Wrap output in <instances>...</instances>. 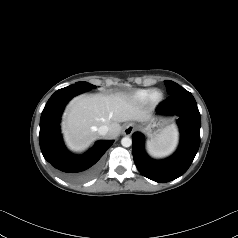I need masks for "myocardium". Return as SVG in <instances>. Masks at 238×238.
I'll list each match as a JSON object with an SVG mask.
<instances>
[{
	"label": "myocardium",
	"instance_id": "obj_1",
	"mask_svg": "<svg viewBox=\"0 0 238 238\" xmlns=\"http://www.w3.org/2000/svg\"><path fill=\"white\" fill-rule=\"evenodd\" d=\"M164 94L161 90L155 89L152 90L149 97H148V102L151 105H158L163 101Z\"/></svg>",
	"mask_w": 238,
	"mask_h": 238
}]
</instances>
